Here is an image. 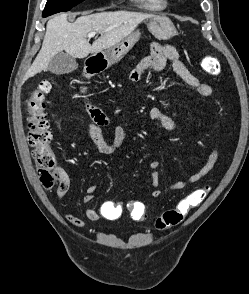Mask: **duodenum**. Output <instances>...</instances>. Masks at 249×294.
Segmentation results:
<instances>
[{"label":"duodenum","mask_w":249,"mask_h":294,"mask_svg":"<svg viewBox=\"0 0 249 294\" xmlns=\"http://www.w3.org/2000/svg\"><path fill=\"white\" fill-rule=\"evenodd\" d=\"M103 69V65L95 62L88 61L86 68L83 72V82L80 86V94L84 102L86 103L87 110L91 117L95 118L98 116L105 115L102 110L93 102L90 97V86L89 80L100 73Z\"/></svg>","instance_id":"1"}]
</instances>
